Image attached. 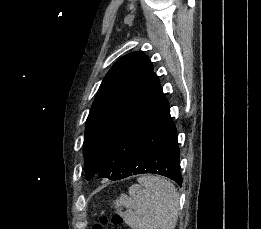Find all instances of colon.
Returning a JSON list of instances; mask_svg holds the SVG:
<instances>
[{
  "label": "colon",
  "instance_id": "5ec220e1",
  "mask_svg": "<svg viewBox=\"0 0 261 229\" xmlns=\"http://www.w3.org/2000/svg\"><path fill=\"white\" fill-rule=\"evenodd\" d=\"M121 219L114 215L113 217H108L106 215H102L99 221L93 225V229H104L106 225H111L113 228H117L120 224Z\"/></svg>",
  "mask_w": 261,
  "mask_h": 229
}]
</instances>
